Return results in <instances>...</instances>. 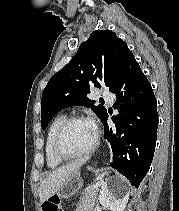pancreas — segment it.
<instances>
[{
	"mask_svg": "<svg viewBox=\"0 0 179 211\" xmlns=\"http://www.w3.org/2000/svg\"><path fill=\"white\" fill-rule=\"evenodd\" d=\"M98 186L97 184H92L88 186L81 194L77 209L75 211H91L97 202L98 196Z\"/></svg>",
	"mask_w": 179,
	"mask_h": 211,
	"instance_id": "1",
	"label": "pancreas"
}]
</instances>
